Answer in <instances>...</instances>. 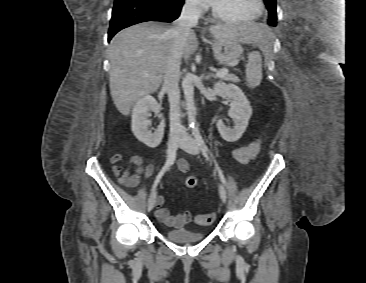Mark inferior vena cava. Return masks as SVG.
Wrapping results in <instances>:
<instances>
[{"label": "inferior vena cava", "instance_id": "inferior-vena-cava-1", "mask_svg": "<svg viewBox=\"0 0 366 283\" xmlns=\"http://www.w3.org/2000/svg\"><path fill=\"white\" fill-rule=\"evenodd\" d=\"M200 14L201 8L197 1L186 0L179 18L174 21L170 29L173 42L167 57L163 79L170 103V133L172 135L182 129L180 118L177 116L180 101L179 79L182 50L186 37L191 28L198 23Z\"/></svg>", "mask_w": 366, "mask_h": 283}]
</instances>
